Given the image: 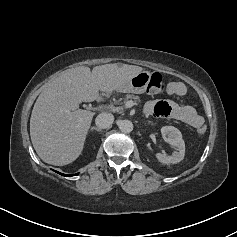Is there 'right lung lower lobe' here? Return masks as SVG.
<instances>
[{
	"label": "right lung lower lobe",
	"mask_w": 237,
	"mask_h": 237,
	"mask_svg": "<svg viewBox=\"0 0 237 237\" xmlns=\"http://www.w3.org/2000/svg\"><path fill=\"white\" fill-rule=\"evenodd\" d=\"M59 174L64 175V176H70V175H65V174H62V173H59Z\"/></svg>",
	"instance_id": "obj_1"
}]
</instances>
